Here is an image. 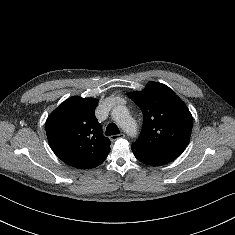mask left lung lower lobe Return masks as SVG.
<instances>
[{
  "instance_id": "1",
  "label": "left lung lower lobe",
  "mask_w": 235,
  "mask_h": 235,
  "mask_svg": "<svg viewBox=\"0 0 235 235\" xmlns=\"http://www.w3.org/2000/svg\"><path fill=\"white\" fill-rule=\"evenodd\" d=\"M132 151L135 157L140 162L148 164V165L159 166V165H163L174 160V158L169 157V156L146 153V152H142L136 149H132Z\"/></svg>"
}]
</instances>
